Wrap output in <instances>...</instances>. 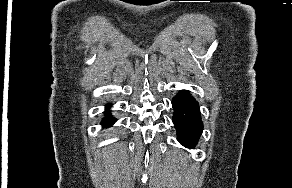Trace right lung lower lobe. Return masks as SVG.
Instances as JSON below:
<instances>
[{"mask_svg":"<svg viewBox=\"0 0 292 188\" xmlns=\"http://www.w3.org/2000/svg\"><path fill=\"white\" fill-rule=\"evenodd\" d=\"M112 104L109 103L107 104V107L104 111L105 116L102 119V125L103 127H108L111 126L115 123L116 119L110 114V108H111Z\"/></svg>","mask_w":292,"mask_h":188,"instance_id":"98d812e1","label":"right lung lower lobe"}]
</instances>
